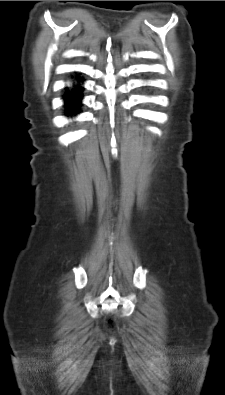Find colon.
Segmentation results:
<instances>
[{
  "label": "colon",
  "mask_w": 225,
  "mask_h": 395,
  "mask_svg": "<svg viewBox=\"0 0 225 395\" xmlns=\"http://www.w3.org/2000/svg\"><path fill=\"white\" fill-rule=\"evenodd\" d=\"M112 322H113V318L112 317L108 318L107 323L111 324Z\"/></svg>",
  "instance_id": "colon-1"
}]
</instances>
